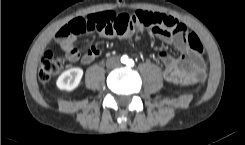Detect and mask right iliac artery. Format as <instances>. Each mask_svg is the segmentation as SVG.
Here are the masks:
<instances>
[{
  "label": "right iliac artery",
  "mask_w": 245,
  "mask_h": 145,
  "mask_svg": "<svg viewBox=\"0 0 245 145\" xmlns=\"http://www.w3.org/2000/svg\"><path fill=\"white\" fill-rule=\"evenodd\" d=\"M127 60H128V57L126 55L122 56L121 62L126 63Z\"/></svg>",
  "instance_id": "1"
}]
</instances>
